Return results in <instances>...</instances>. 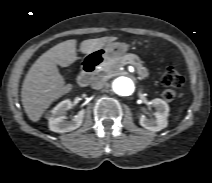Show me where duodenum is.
I'll use <instances>...</instances> for the list:
<instances>
[{"label": "duodenum", "mask_w": 212, "mask_h": 183, "mask_svg": "<svg viewBox=\"0 0 212 183\" xmlns=\"http://www.w3.org/2000/svg\"><path fill=\"white\" fill-rule=\"evenodd\" d=\"M101 60V57L96 55H89L84 59L81 73L78 77V84L80 86H87L89 84L92 74L96 67L101 63Z\"/></svg>", "instance_id": "410a0bca"}]
</instances>
